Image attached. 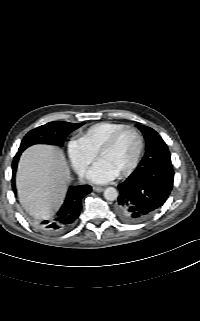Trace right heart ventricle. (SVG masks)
<instances>
[{"label": "right heart ventricle", "mask_w": 200, "mask_h": 321, "mask_svg": "<svg viewBox=\"0 0 200 321\" xmlns=\"http://www.w3.org/2000/svg\"><path fill=\"white\" fill-rule=\"evenodd\" d=\"M126 127L123 123L103 121L85 129L80 136L83 143L97 154L100 147L117 131Z\"/></svg>", "instance_id": "obj_1"}]
</instances>
